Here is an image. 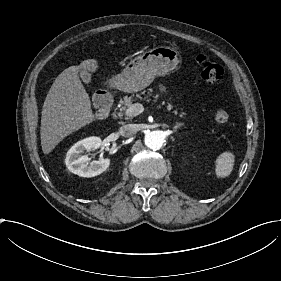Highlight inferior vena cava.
Returning <instances> with one entry per match:
<instances>
[{
	"label": "inferior vena cava",
	"instance_id": "602c4592",
	"mask_svg": "<svg viewBox=\"0 0 281 281\" xmlns=\"http://www.w3.org/2000/svg\"><path fill=\"white\" fill-rule=\"evenodd\" d=\"M138 127L134 124H127L120 128V134L124 137H131L137 133Z\"/></svg>",
	"mask_w": 281,
	"mask_h": 281
}]
</instances>
